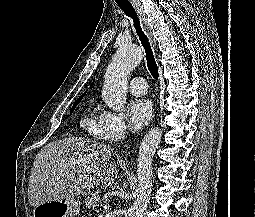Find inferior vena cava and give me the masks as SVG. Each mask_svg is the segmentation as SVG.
<instances>
[{
	"instance_id": "inferior-vena-cava-1",
	"label": "inferior vena cava",
	"mask_w": 255,
	"mask_h": 217,
	"mask_svg": "<svg viewBox=\"0 0 255 217\" xmlns=\"http://www.w3.org/2000/svg\"><path fill=\"white\" fill-rule=\"evenodd\" d=\"M121 136H122V138H124V137H125L124 132H122Z\"/></svg>"
}]
</instances>
